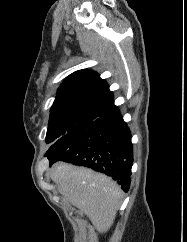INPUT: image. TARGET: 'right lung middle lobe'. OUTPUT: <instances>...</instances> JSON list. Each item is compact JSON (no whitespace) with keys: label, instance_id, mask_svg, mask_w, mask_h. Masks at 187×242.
<instances>
[{"label":"right lung middle lobe","instance_id":"1","mask_svg":"<svg viewBox=\"0 0 187 242\" xmlns=\"http://www.w3.org/2000/svg\"><path fill=\"white\" fill-rule=\"evenodd\" d=\"M104 110L89 105H69L51 109L46 142L57 141L70 131L95 120Z\"/></svg>","mask_w":187,"mask_h":242}]
</instances>
